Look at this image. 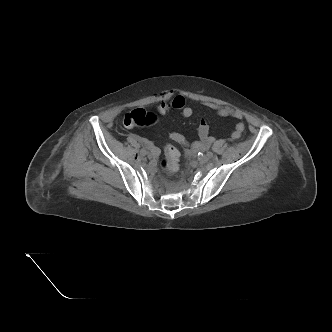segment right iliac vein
<instances>
[{
    "instance_id": "right-iliac-vein-1",
    "label": "right iliac vein",
    "mask_w": 332,
    "mask_h": 332,
    "mask_svg": "<svg viewBox=\"0 0 332 332\" xmlns=\"http://www.w3.org/2000/svg\"><path fill=\"white\" fill-rule=\"evenodd\" d=\"M140 154H141L142 156H145V155L147 154V150H146L145 148H142V149L140 150Z\"/></svg>"
}]
</instances>
